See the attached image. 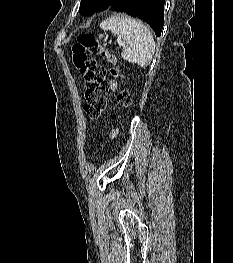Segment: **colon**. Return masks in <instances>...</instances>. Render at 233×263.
I'll return each mask as SVG.
<instances>
[{"mask_svg":"<svg viewBox=\"0 0 233 263\" xmlns=\"http://www.w3.org/2000/svg\"><path fill=\"white\" fill-rule=\"evenodd\" d=\"M92 55H100L112 65L109 72L113 77L120 78L121 75L115 55L104 48L93 34L83 32L78 35L72 45V61L85 79L84 111L90 118L97 119L107 107L108 83L106 69L98 65ZM117 101L122 108H129L132 104L129 90L121 88Z\"/></svg>","mask_w":233,"mask_h":263,"instance_id":"obj_1","label":"colon"}]
</instances>
